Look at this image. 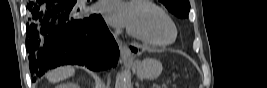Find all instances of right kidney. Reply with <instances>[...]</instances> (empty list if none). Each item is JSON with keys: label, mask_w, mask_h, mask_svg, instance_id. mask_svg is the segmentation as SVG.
Returning <instances> with one entry per match:
<instances>
[{"label": "right kidney", "mask_w": 267, "mask_h": 88, "mask_svg": "<svg viewBox=\"0 0 267 88\" xmlns=\"http://www.w3.org/2000/svg\"><path fill=\"white\" fill-rule=\"evenodd\" d=\"M57 88H79L77 83L74 82H66V83H62L59 86H57Z\"/></svg>", "instance_id": "right-kidney-1"}]
</instances>
